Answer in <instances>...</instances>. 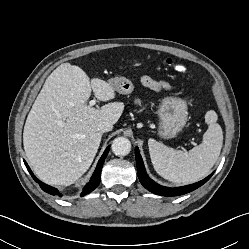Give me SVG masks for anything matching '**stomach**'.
Wrapping results in <instances>:
<instances>
[{"label": "stomach", "instance_id": "1", "mask_svg": "<svg viewBox=\"0 0 249 249\" xmlns=\"http://www.w3.org/2000/svg\"><path fill=\"white\" fill-rule=\"evenodd\" d=\"M109 83L120 94H130L134 90L133 83L125 77L112 78ZM157 114L159 135L165 139L173 138L188 120L187 104L178 97L167 96L162 99Z\"/></svg>", "mask_w": 249, "mask_h": 249}]
</instances>
